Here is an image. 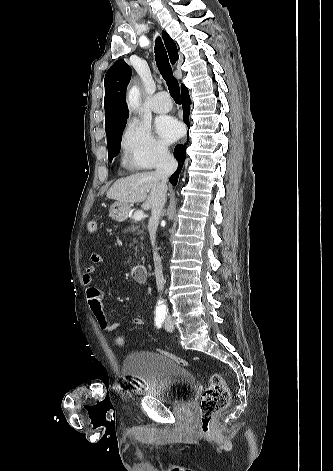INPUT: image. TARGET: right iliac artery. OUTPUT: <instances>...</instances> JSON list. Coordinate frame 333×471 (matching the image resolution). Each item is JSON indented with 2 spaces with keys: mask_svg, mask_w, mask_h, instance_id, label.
Instances as JSON below:
<instances>
[{
  "mask_svg": "<svg viewBox=\"0 0 333 471\" xmlns=\"http://www.w3.org/2000/svg\"><path fill=\"white\" fill-rule=\"evenodd\" d=\"M164 319H165L164 312H156L155 325L157 326V328H161L162 323L164 322Z\"/></svg>",
  "mask_w": 333,
  "mask_h": 471,
  "instance_id": "obj_1",
  "label": "right iliac artery"
}]
</instances>
